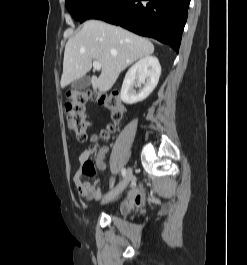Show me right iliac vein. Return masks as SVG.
<instances>
[{"mask_svg": "<svg viewBox=\"0 0 247 265\" xmlns=\"http://www.w3.org/2000/svg\"><path fill=\"white\" fill-rule=\"evenodd\" d=\"M131 178H132V170L129 168L127 170V173H126L123 181L118 186V188L115 189L114 191H111L110 193H108L107 195H105L103 197L102 204L108 203V202L114 200L115 198H117L127 188Z\"/></svg>", "mask_w": 247, "mask_h": 265, "instance_id": "right-iliac-vein-1", "label": "right iliac vein"}]
</instances>
